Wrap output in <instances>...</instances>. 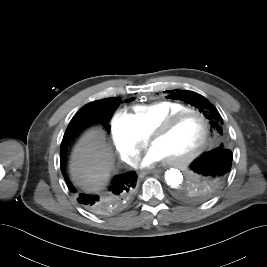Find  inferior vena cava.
Masks as SVG:
<instances>
[{"mask_svg":"<svg viewBox=\"0 0 267 267\" xmlns=\"http://www.w3.org/2000/svg\"><path fill=\"white\" fill-rule=\"evenodd\" d=\"M131 164L134 165V166H137V164H138L137 159H133V160H131Z\"/></svg>","mask_w":267,"mask_h":267,"instance_id":"obj_1","label":"inferior vena cava"}]
</instances>
